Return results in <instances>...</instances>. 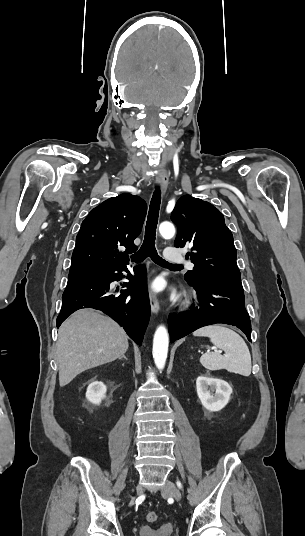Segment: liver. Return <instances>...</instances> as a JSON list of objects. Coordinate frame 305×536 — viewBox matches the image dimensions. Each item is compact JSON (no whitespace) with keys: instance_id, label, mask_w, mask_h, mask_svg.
Returning a JSON list of instances; mask_svg holds the SVG:
<instances>
[{"instance_id":"obj_1","label":"liver","mask_w":305,"mask_h":536,"mask_svg":"<svg viewBox=\"0 0 305 536\" xmlns=\"http://www.w3.org/2000/svg\"><path fill=\"white\" fill-rule=\"evenodd\" d=\"M127 336L114 320L95 310H78L59 328V384L67 386L81 372L114 362L128 350Z\"/></svg>"}]
</instances>
